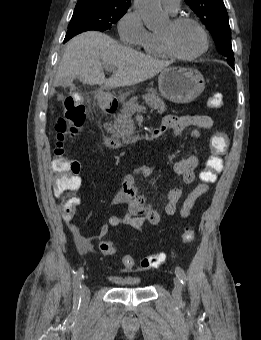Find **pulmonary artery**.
<instances>
[{"label": "pulmonary artery", "mask_w": 261, "mask_h": 340, "mask_svg": "<svg viewBox=\"0 0 261 340\" xmlns=\"http://www.w3.org/2000/svg\"><path fill=\"white\" fill-rule=\"evenodd\" d=\"M161 4L172 14H175L180 6V0H160Z\"/></svg>", "instance_id": "e3ab8cb5"}]
</instances>
